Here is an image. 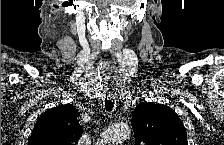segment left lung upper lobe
Segmentation results:
<instances>
[{"label": "left lung upper lobe", "instance_id": "obj_1", "mask_svg": "<svg viewBox=\"0 0 224 145\" xmlns=\"http://www.w3.org/2000/svg\"><path fill=\"white\" fill-rule=\"evenodd\" d=\"M137 145H188L186 129L168 106L140 103L132 113Z\"/></svg>", "mask_w": 224, "mask_h": 145}]
</instances>
